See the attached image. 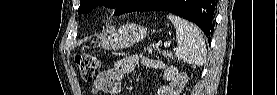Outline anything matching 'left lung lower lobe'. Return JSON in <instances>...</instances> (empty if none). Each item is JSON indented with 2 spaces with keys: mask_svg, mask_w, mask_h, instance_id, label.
<instances>
[{
  "mask_svg": "<svg viewBox=\"0 0 277 95\" xmlns=\"http://www.w3.org/2000/svg\"><path fill=\"white\" fill-rule=\"evenodd\" d=\"M216 7V0H146L135 11L162 10L176 14L198 25L210 41Z\"/></svg>",
  "mask_w": 277,
  "mask_h": 95,
  "instance_id": "1",
  "label": "left lung lower lobe"
}]
</instances>
